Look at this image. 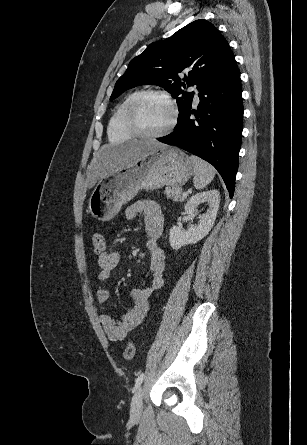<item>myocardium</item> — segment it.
I'll return each instance as SVG.
<instances>
[{"label": "myocardium", "mask_w": 307, "mask_h": 445, "mask_svg": "<svg viewBox=\"0 0 307 445\" xmlns=\"http://www.w3.org/2000/svg\"><path fill=\"white\" fill-rule=\"evenodd\" d=\"M151 97H157L162 100H164L171 108L172 117L168 125L161 131L157 133H151L146 131L143 126L140 123L139 120V109L144 101H146L148 98ZM179 117V111L177 108L176 103L174 100L166 94L165 92L158 91V90H147L142 92L131 104L129 113H128V120L130 127L134 134L139 136L138 138L140 140L142 139H163L165 136L170 134L173 129L175 128L177 121Z\"/></svg>", "instance_id": "obj_1"}]
</instances>
